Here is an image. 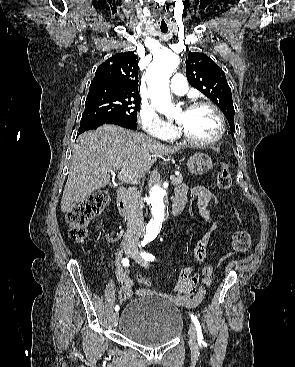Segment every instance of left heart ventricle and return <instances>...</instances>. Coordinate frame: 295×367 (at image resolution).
Masks as SVG:
<instances>
[{
  "label": "left heart ventricle",
  "mask_w": 295,
  "mask_h": 367,
  "mask_svg": "<svg viewBox=\"0 0 295 367\" xmlns=\"http://www.w3.org/2000/svg\"><path fill=\"white\" fill-rule=\"evenodd\" d=\"M179 125L194 139L209 140L219 132V120L206 106L180 111L176 115Z\"/></svg>",
  "instance_id": "left-heart-ventricle-1"
}]
</instances>
